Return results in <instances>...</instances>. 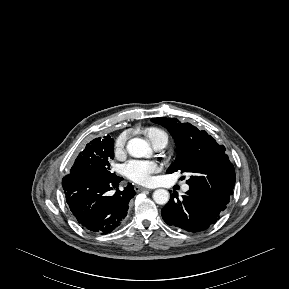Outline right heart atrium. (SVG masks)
Returning <instances> with one entry per match:
<instances>
[{
  "label": "right heart atrium",
  "instance_id": "right-heart-atrium-1",
  "mask_svg": "<svg viewBox=\"0 0 289 289\" xmlns=\"http://www.w3.org/2000/svg\"><path fill=\"white\" fill-rule=\"evenodd\" d=\"M126 140H127V134L126 133H122L121 135L118 136V138L115 141V151L116 152H121L126 144Z\"/></svg>",
  "mask_w": 289,
  "mask_h": 289
}]
</instances>
